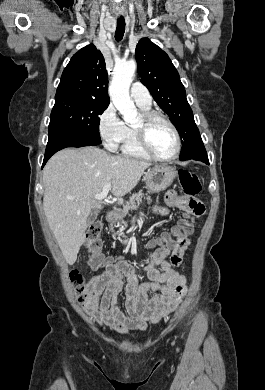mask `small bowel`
Returning a JSON list of instances; mask_svg holds the SVG:
<instances>
[{"label":"small bowel","mask_w":265,"mask_h":390,"mask_svg":"<svg viewBox=\"0 0 265 390\" xmlns=\"http://www.w3.org/2000/svg\"><path fill=\"white\" fill-rule=\"evenodd\" d=\"M165 201L168 207H176L186 216L201 217L205 210L197 198L178 195L173 190L167 192ZM157 211L167 213L165 208ZM189 245L190 240L181 234L180 227H174L171 233L165 232L149 241L148 247L154 251L141 269L130 265L123 257L104 259V271L89 284L91 298L83 310L101 327L121 334L143 331L148 324L158 323L178 307L186 293V277L175 268L181 264ZM140 272L145 273L149 281L139 283ZM124 281L126 314L118 306ZM150 292L155 294L149 297Z\"/></svg>","instance_id":"obj_1"}]
</instances>
